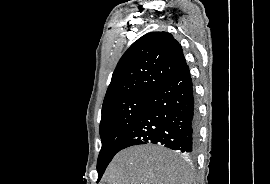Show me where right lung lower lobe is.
<instances>
[{"label": "right lung lower lobe", "instance_id": "1", "mask_svg": "<svg viewBox=\"0 0 270 184\" xmlns=\"http://www.w3.org/2000/svg\"><path fill=\"white\" fill-rule=\"evenodd\" d=\"M198 139V118L189 67L186 64L147 100L119 146L162 144L193 154Z\"/></svg>", "mask_w": 270, "mask_h": 184}]
</instances>
